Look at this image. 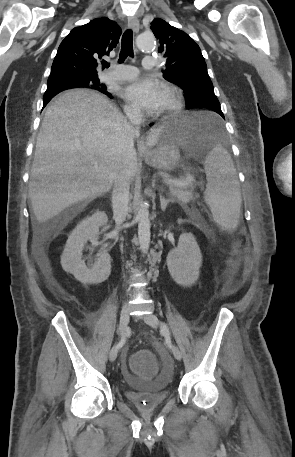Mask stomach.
<instances>
[{"mask_svg":"<svg viewBox=\"0 0 295 457\" xmlns=\"http://www.w3.org/2000/svg\"><path fill=\"white\" fill-rule=\"evenodd\" d=\"M207 122L197 116H187L160 126L156 147L143 154L145 162L160 170H172L181 163L180 149L197 145L209 151L213 147Z\"/></svg>","mask_w":295,"mask_h":457,"instance_id":"obj_1","label":"stomach"}]
</instances>
